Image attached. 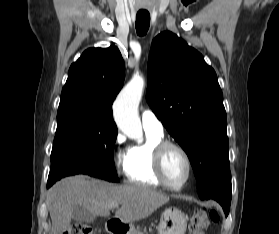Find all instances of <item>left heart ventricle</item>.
<instances>
[{"label": "left heart ventricle", "instance_id": "obj_1", "mask_svg": "<svg viewBox=\"0 0 279 234\" xmlns=\"http://www.w3.org/2000/svg\"><path fill=\"white\" fill-rule=\"evenodd\" d=\"M164 170L167 180L174 184H181L187 174V166L183 156L175 149H170L164 160Z\"/></svg>", "mask_w": 279, "mask_h": 234}]
</instances>
